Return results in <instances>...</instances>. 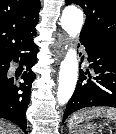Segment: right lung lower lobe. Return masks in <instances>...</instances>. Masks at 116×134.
<instances>
[{"mask_svg":"<svg viewBox=\"0 0 116 134\" xmlns=\"http://www.w3.org/2000/svg\"><path fill=\"white\" fill-rule=\"evenodd\" d=\"M23 51H28L21 53ZM38 47L34 42H31L23 49L12 54L5 60L7 70L10 66V61L18 62L19 57L25 58L26 71L22 75L24 83L16 85L13 78H7L0 82V118H4L17 124L24 132L27 126L26 109L30 102V93L32 82L35 79V74L31 70L33 63L36 62V54Z\"/></svg>","mask_w":116,"mask_h":134,"instance_id":"1","label":"right lung lower lobe"}]
</instances>
